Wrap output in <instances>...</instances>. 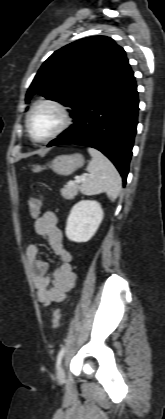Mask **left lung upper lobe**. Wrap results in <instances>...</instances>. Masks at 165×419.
I'll list each match as a JSON object with an SVG mask.
<instances>
[{"label":"left lung upper lobe","instance_id":"1","mask_svg":"<svg viewBox=\"0 0 165 419\" xmlns=\"http://www.w3.org/2000/svg\"><path fill=\"white\" fill-rule=\"evenodd\" d=\"M128 65L123 48L109 37L77 40L43 63L27 91L26 102L38 93L69 106L74 117L87 98L98 94Z\"/></svg>","mask_w":165,"mask_h":419}]
</instances>
